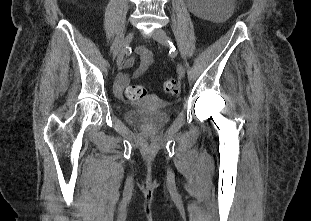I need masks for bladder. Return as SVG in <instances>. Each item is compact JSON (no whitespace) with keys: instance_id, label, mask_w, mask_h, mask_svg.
I'll return each instance as SVG.
<instances>
[{"instance_id":"obj_1","label":"bladder","mask_w":311,"mask_h":221,"mask_svg":"<svg viewBox=\"0 0 311 221\" xmlns=\"http://www.w3.org/2000/svg\"><path fill=\"white\" fill-rule=\"evenodd\" d=\"M170 106L164 99L152 98L147 95L136 103V109L127 117V122L143 133L161 131L169 123L167 109Z\"/></svg>"}]
</instances>
